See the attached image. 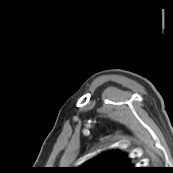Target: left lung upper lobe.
<instances>
[{"label":"left lung upper lobe","instance_id":"5c2ea615","mask_svg":"<svg viewBox=\"0 0 173 173\" xmlns=\"http://www.w3.org/2000/svg\"><path fill=\"white\" fill-rule=\"evenodd\" d=\"M79 173H137L138 168L130 164L129 158L118 151L104 152L84 166L78 168Z\"/></svg>","mask_w":173,"mask_h":173}]
</instances>
